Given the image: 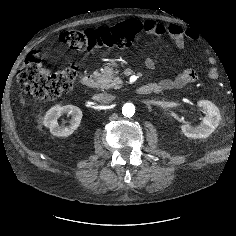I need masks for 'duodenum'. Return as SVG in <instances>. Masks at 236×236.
<instances>
[{
    "label": "duodenum",
    "mask_w": 236,
    "mask_h": 236,
    "mask_svg": "<svg viewBox=\"0 0 236 236\" xmlns=\"http://www.w3.org/2000/svg\"><path fill=\"white\" fill-rule=\"evenodd\" d=\"M82 84L87 88H94L96 85V78L92 74L85 75L82 78ZM139 94H150L154 91V86L151 84H146L138 87L136 89Z\"/></svg>",
    "instance_id": "410a0bca"
}]
</instances>
